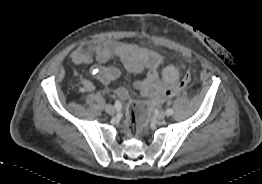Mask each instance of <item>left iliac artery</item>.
Masks as SVG:
<instances>
[{"label": "left iliac artery", "mask_w": 262, "mask_h": 184, "mask_svg": "<svg viewBox=\"0 0 262 184\" xmlns=\"http://www.w3.org/2000/svg\"><path fill=\"white\" fill-rule=\"evenodd\" d=\"M173 114V110L172 109H167L166 110V115H168V116H171Z\"/></svg>", "instance_id": "44dca946"}]
</instances>
